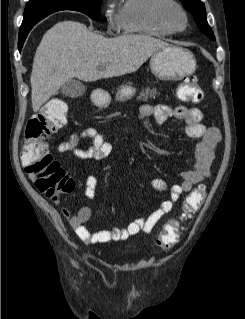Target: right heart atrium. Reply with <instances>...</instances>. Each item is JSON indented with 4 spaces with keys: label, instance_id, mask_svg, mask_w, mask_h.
Listing matches in <instances>:
<instances>
[{
    "label": "right heart atrium",
    "instance_id": "obj_1",
    "mask_svg": "<svg viewBox=\"0 0 245 319\" xmlns=\"http://www.w3.org/2000/svg\"><path fill=\"white\" fill-rule=\"evenodd\" d=\"M106 21H107V27L109 31H117L118 29H120L118 13H114L110 9L109 0L106 1Z\"/></svg>",
    "mask_w": 245,
    "mask_h": 319
}]
</instances>
